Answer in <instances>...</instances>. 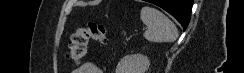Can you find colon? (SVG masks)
Wrapping results in <instances>:
<instances>
[{
    "label": "colon",
    "mask_w": 244,
    "mask_h": 73,
    "mask_svg": "<svg viewBox=\"0 0 244 73\" xmlns=\"http://www.w3.org/2000/svg\"><path fill=\"white\" fill-rule=\"evenodd\" d=\"M91 40L101 45L108 43L107 29L103 24L89 21L86 25L76 28L69 42L68 59L77 64L81 63Z\"/></svg>",
    "instance_id": "1"
}]
</instances>
